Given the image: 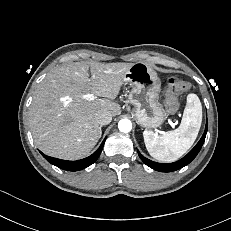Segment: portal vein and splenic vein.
<instances>
[{
    "label": "portal vein and splenic vein",
    "instance_id": "obj_1",
    "mask_svg": "<svg viewBox=\"0 0 231 231\" xmlns=\"http://www.w3.org/2000/svg\"><path fill=\"white\" fill-rule=\"evenodd\" d=\"M82 99H85V100H88V101H92V100L95 99V96H94L93 93H91V94H84V95H82Z\"/></svg>",
    "mask_w": 231,
    "mask_h": 231
}]
</instances>
